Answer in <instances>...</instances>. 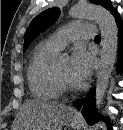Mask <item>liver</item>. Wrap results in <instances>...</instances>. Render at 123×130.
<instances>
[{
  "label": "liver",
  "instance_id": "1",
  "mask_svg": "<svg viewBox=\"0 0 123 130\" xmlns=\"http://www.w3.org/2000/svg\"><path fill=\"white\" fill-rule=\"evenodd\" d=\"M72 109L54 101L27 100L21 107L16 130H61Z\"/></svg>",
  "mask_w": 123,
  "mask_h": 130
}]
</instances>
